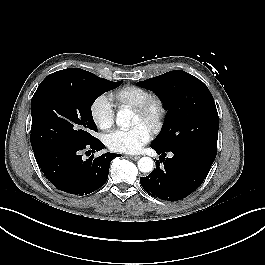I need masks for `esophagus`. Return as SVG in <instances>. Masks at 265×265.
I'll use <instances>...</instances> for the list:
<instances>
[{
	"label": "esophagus",
	"mask_w": 265,
	"mask_h": 265,
	"mask_svg": "<svg viewBox=\"0 0 265 265\" xmlns=\"http://www.w3.org/2000/svg\"><path fill=\"white\" fill-rule=\"evenodd\" d=\"M128 158H130L131 160H138L140 158V156H128Z\"/></svg>",
	"instance_id": "obj_1"
}]
</instances>
